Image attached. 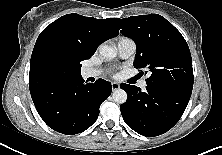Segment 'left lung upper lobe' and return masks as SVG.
Wrapping results in <instances>:
<instances>
[{"mask_svg": "<svg viewBox=\"0 0 222 155\" xmlns=\"http://www.w3.org/2000/svg\"><path fill=\"white\" fill-rule=\"evenodd\" d=\"M115 23L123 35L136 43L134 67L151 72L147 85L191 96L194 76L190 50L168 20L149 14L115 18Z\"/></svg>", "mask_w": 222, "mask_h": 155, "instance_id": "1", "label": "left lung upper lobe"}]
</instances>
